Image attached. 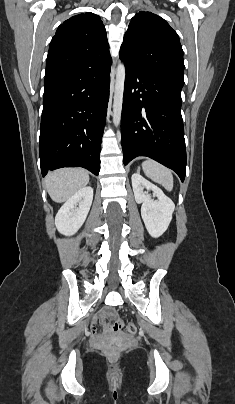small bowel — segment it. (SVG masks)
<instances>
[{
  "label": "small bowel",
  "instance_id": "obj_1",
  "mask_svg": "<svg viewBox=\"0 0 235 404\" xmlns=\"http://www.w3.org/2000/svg\"><path fill=\"white\" fill-rule=\"evenodd\" d=\"M103 317H105V316H104V309L101 310V312L95 317V321H96V320H101ZM91 331H92V333H95V327H94V325L92 326Z\"/></svg>",
  "mask_w": 235,
  "mask_h": 404
}]
</instances>
